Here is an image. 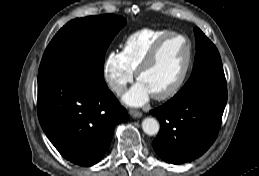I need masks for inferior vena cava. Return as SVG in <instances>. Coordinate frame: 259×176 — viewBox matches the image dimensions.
Returning <instances> with one entry per match:
<instances>
[{"label":"inferior vena cava","mask_w":259,"mask_h":176,"mask_svg":"<svg viewBox=\"0 0 259 176\" xmlns=\"http://www.w3.org/2000/svg\"><path fill=\"white\" fill-rule=\"evenodd\" d=\"M112 88L118 94H120V93H122V92H124L126 90V86L118 84V83H114L112 85Z\"/></svg>","instance_id":"1"}]
</instances>
